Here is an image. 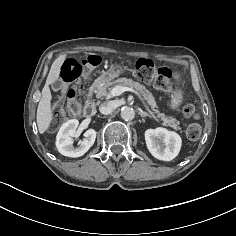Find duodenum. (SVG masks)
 I'll use <instances>...</instances> for the list:
<instances>
[{
  "label": "duodenum",
  "instance_id": "duodenum-1",
  "mask_svg": "<svg viewBox=\"0 0 236 236\" xmlns=\"http://www.w3.org/2000/svg\"><path fill=\"white\" fill-rule=\"evenodd\" d=\"M100 81L101 80L98 79L94 81L93 83H91V85L89 86L87 100L84 104V109H83L84 116L87 118L93 117L95 114L96 104L94 101V95H95L96 86L100 83Z\"/></svg>",
  "mask_w": 236,
  "mask_h": 236
}]
</instances>
